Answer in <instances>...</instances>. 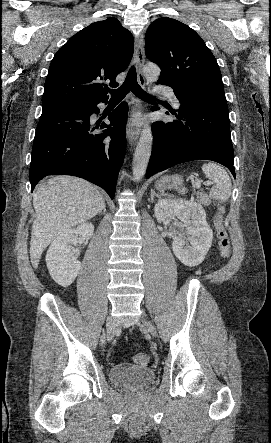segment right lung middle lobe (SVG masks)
<instances>
[{"mask_svg": "<svg viewBox=\"0 0 271 443\" xmlns=\"http://www.w3.org/2000/svg\"><path fill=\"white\" fill-rule=\"evenodd\" d=\"M67 104H73V102H61V103L43 104V110L54 108V107H58V106H63V105H67Z\"/></svg>", "mask_w": 271, "mask_h": 443, "instance_id": "dd1d6c3e", "label": "right lung middle lobe"}]
</instances>
